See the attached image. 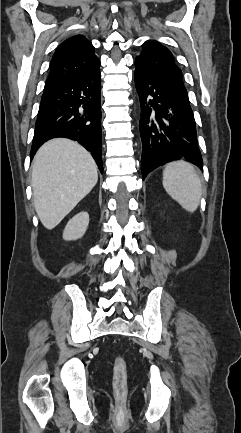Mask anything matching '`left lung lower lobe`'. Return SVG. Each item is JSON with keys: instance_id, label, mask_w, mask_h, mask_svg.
Listing matches in <instances>:
<instances>
[{"instance_id": "obj_1", "label": "left lung lower lobe", "mask_w": 241, "mask_h": 433, "mask_svg": "<svg viewBox=\"0 0 241 433\" xmlns=\"http://www.w3.org/2000/svg\"><path fill=\"white\" fill-rule=\"evenodd\" d=\"M134 79L141 105L143 177L158 166L179 159L203 170L192 110L159 79L138 71Z\"/></svg>"}]
</instances>
